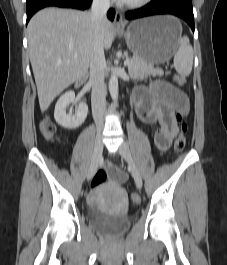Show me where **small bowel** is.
<instances>
[{
  "instance_id": "1",
  "label": "small bowel",
  "mask_w": 227,
  "mask_h": 265,
  "mask_svg": "<svg viewBox=\"0 0 227 265\" xmlns=\"http://www.w3.org/2000/svg\"><path fill=\"white\" fill-rule=\"evenodd\" d=\"M134 103L137 116L142 122L158 126L154 141L158 150L165 152L177 133L175 111L186 114L189 110L186 95L166 81H157L152 88H137ZM107 173L114 184L127 179L126 173L110 165L107 166Z\"/></svg>"
}]
</instances>
